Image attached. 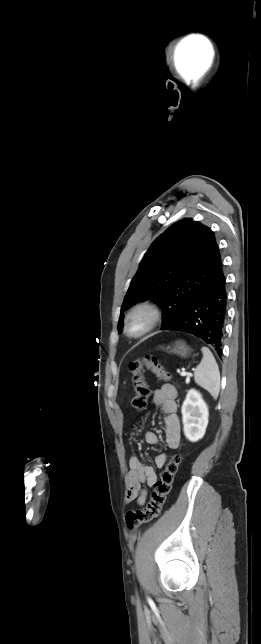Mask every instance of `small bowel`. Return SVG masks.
Wrapping results in <instances>:
<instances>
[{
	"mask_svg": "<svg viewBox=\"0 0 261 644\" xmlns=\"http://www.w3.org/2000/svg\"><path fill=\"white\" fill-rule=\"evenodd\" d=\"M177 390L171 384H164L154 390L151 402L154 406L161 407L165 414L164 433L165 441L169 449H177L181 440V425L177 415ZM145 441L150 445H156L159 437L156 432L148 431L145 434ZM168 455L164 452L155 457V465L162 468ZM158 480L156 470L153 466L145 464L137 456L129 459V470L127 474L126 502L136 501L139 506L146 503L148 491L145 486H153Z\"/></svg>",
	"mask_w": 261,
	"mask_h": 644,
	"instance_id": "obj_1",
	"label": "small bowel"
}]
</instances>
